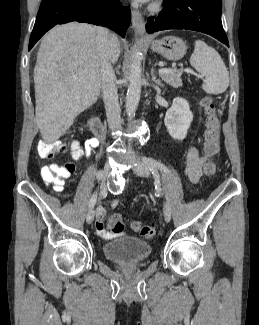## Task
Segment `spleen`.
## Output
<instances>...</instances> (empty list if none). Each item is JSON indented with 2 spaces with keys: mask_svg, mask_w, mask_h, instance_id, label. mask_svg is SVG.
Segmentation results:
<instances>
[{
  "mask_svg": "<svg viewBox=\"0 0 259 325\" xmlns=\"http://www.w3.org/2000/svg\"><path fill=\"white\" fill-rule=\"evenodd\" d=\"M194 45L190 64L205 76L202 89L214 95L225 92L229 86V74L221 56L202 40H196Z\"/></svg>",
  "mask_w": 259,
  "mask_h": 325,
  "instance_id": "obj_1",
  "label": "spleen"
}]
</instances>
